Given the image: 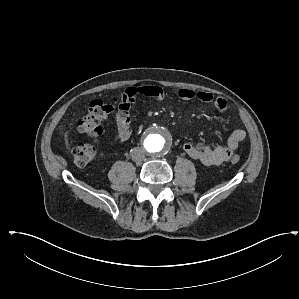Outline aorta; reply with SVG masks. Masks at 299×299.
I'll list each match as a JSON object with an SVG mask.
<instances>
[{
  "mask_svg": "<svg viewBox=\"0 0 299 299\" xmlns=\"http://www.w3.org/2000/svg\"><path fill=\"white\" fill-rule=\"evenodd\" d=\"M144 148L150 155H159L168 147V139L159 131L147 135L143 142Z\"/></svg>",
  "mask_w": 299,
  "mask_h": 299,
  "instance_id": "aorta-1",
  "label": "aorta"
}]
</instances>
